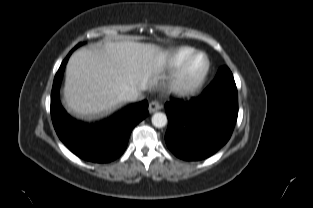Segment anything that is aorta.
<instances>
[{
  "instance_id": "762f6f07",
  "label": "aorta",
  "mask_w": 313,
  "mask_h": 208,
  "mask_svg": "<svg viewBox=\"0 0 313 208\" xmlns=\"http://www.w3.org/2000/svg\"><path fill=\"white\" fill-rule=\"evenodd\" d=\"M167 122V116L164 113L157 112L152 116V124L157 128L164 127Z\"/></svg>"
}]
</instances>
